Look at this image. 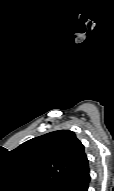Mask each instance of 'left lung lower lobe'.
<instances>
[{
  "mask_svg": "<svg viewBox=\"0 0 114 191\" xmlns=\"http://www.w3.org/2000/svg\"><path fill=\"white\" fill-rule=\"evenodd\" d=\"M90 181L89 166L87 165L70 182L64 191H87Z\"/></svg>",
  "mask_w": 114,
  "mask_h": 191,
  "instance_id": "obj_1",
  "label": "left lung lower lobe"
}]
</instances>
